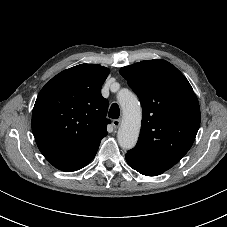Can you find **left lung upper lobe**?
<instances>
[{
  "instance_id": "1",
  "label": "left lung upper lobe",
  "mask_w": 227,
  "mask_h": 227,
  "mask_svg": "<svg viewBox=\"0 0 227 227\" xmlns=\"http://www.w3.org/2000/svg\"><path fill=\"white\" fill-rule=\"evenodd\" d=\"M120 74L139 97L143 110L138 142L126 159L167 171L195 140L201 119L197 97L186 77L162 59L123 67Z\"/></svg>"
}]
</instances>
